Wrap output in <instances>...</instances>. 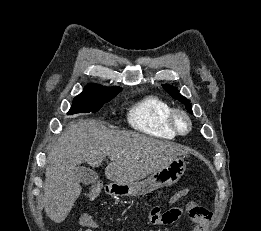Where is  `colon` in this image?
<instances>
[{
	"mask_svg": "<svg viewBox=\"0 0 261 231\" xmlns=\"http://www.w3.org/2000/svg\"><path fill=\"white\" fill-rule=\"evenodd\" d=\"M183 196H185V193L183 191H180L179 193H177V197L174 200L180 201L182 200ZM185 211L194 225L202 227L204 231L208 230L213 216L210 210L194 202H186Z\"/></svg>",
	"mask_w": 261,
	"mask_h": 231,
	"instance_id": "colon-1",
	"label": "colon"
}]
</instances>
